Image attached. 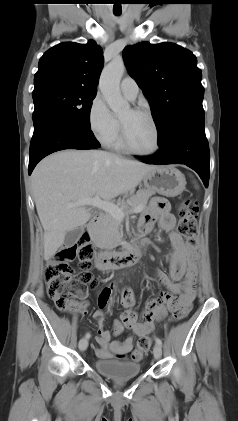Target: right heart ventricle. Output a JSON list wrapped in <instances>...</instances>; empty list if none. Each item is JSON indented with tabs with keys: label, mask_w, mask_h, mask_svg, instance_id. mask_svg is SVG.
Listing matches in <instances>:
<instances>
[{
	"label": "right heart ventricle",
	"mask_w": 238,
	"mask_h": 421,
	"mask_svg": "<svg viewBox=\"0 0 238 421\" xmlns=\"http://www.w3.org/2000/svg\"><path fill=\"white\" fill-rule=\"evenodd\" d=\"M108 145L111 148H113V149H115L117 151H125V148H124V146H123V144L121 142V138H120L119 133L117 134V136L115 137V139L112 142H110Z\"/></svg>",
	"instance_id": "right-heart-ventricle-1"
}]
</instances>
